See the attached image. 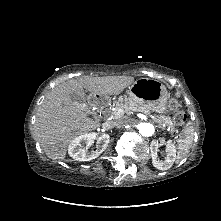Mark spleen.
Wrapping results in <instances>:
<instances>
[{
  "mask_svg": "<svg viewBox=\"0 0 221 221\" xmlns=\"http://www.w3.org/2000/svg\"><path fill=\"white\" fill-rule=\"evenodd\" d=\"M193 129L191 127H186L181 138L177 140L178 158L183 159L190 152V148L193 142Z\"/></svg>",
  "mask_w": 221,
  "mask_h": 221,
  "instance_id": "obj_1",
  "label": "spleen"
}]
</instances>
